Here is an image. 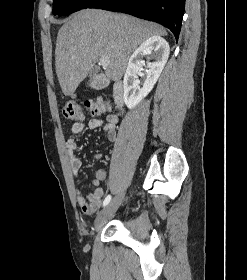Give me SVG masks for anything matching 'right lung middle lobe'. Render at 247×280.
Segmentation results:
<instances>
[{
    "label": "right lung middle lobe",
    "mask_w": 247,
    "mask_h": 280,
    "mask_svg": "<svg viewBox=\"0 0 247 280\" xmlns=\"http://www.w3.org/2000/svg\"><path fill=\"white\" fill-rule=\"evenodd\" d=\"M98 0H54L53 14L64 16L90 7Z\"/></svg>",
    "instance_id": "obj_1"
}]
</instances>
